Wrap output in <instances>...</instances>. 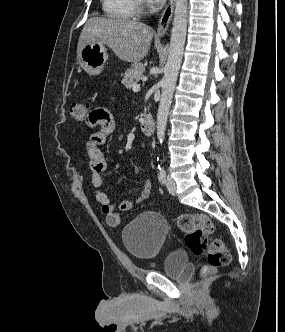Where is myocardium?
I'll return each mask as SVG.
<instances>
[{"label": "myocardium", "mask_w": 285, "mask_h": 332, "mask_svg": "<svg viewBox=\"0 0 285 332\" xmlns=\"http://www.w3.org/2000/svg\"><path fill=\"white\" fill-rule=\"evenodd\" d=\"M137 1V10L139 13H144L146 11L145 0H136Z\"/></svg>", "instance_id": "myocardium-1"}]
</instances>
